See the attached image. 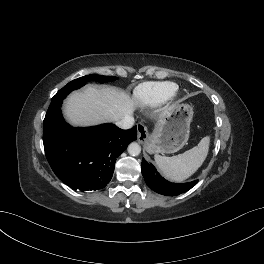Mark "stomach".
<instances>
[{"label": "stomach", "mask_w": 264, "mask_h": 264, "mask_svg": "<svg viewBox=\"0 0 264 264\" xmlns=\"http://www.w3.org/2000/svg\"><path fill=\"white\" fill-rule=\"evenodd\" d=\"M193 108L176 104L157 123L146 142L148 153L169 154L180 150L188 141Z\"/></svg>", "instance_id": "1"}]
</instances>
